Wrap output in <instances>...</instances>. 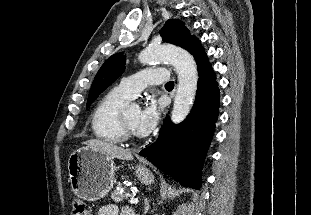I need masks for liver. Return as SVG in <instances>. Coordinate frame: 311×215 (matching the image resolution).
I'll return each instance as SVG.
<instances>
[{"label": "liver", "instance_id": "1", "mask_svg": "<svg viewBox=\"0 0 311 215\" xmlns=\"http://www.w3.org/2000/svg\"><path fill=\"white\" fill-rule=\"evenodd\" d=\"M82 144L86 145L89 148H92L94 150H98L105 154L107 157L114 159H120V160H132L133 155L130 151L125 150L124 148H121L113 143L98 140V139H91L83 142Z\"/></svg>", "mask_w": 311, "mask_h": 215}]
</instances>
